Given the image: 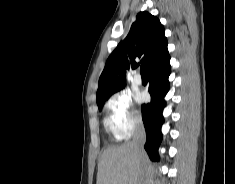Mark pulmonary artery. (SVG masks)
<instances>
[{
  "label": "pulmonary artery",
  "mask_w": 235,
  "mask_h": 184,
  "mask_svg": "<svg viewBox=\"0 0 235 184\" xmlns=\"http://www.w3.org/2000/svg\"><path fill=\"white\" fill-rule=\"evenodd\" d=\"M133 80H134V83H135L136 85H141V84H142V78H141V76H140L138 73H136V74L134 75Z\"/></svg>",
  "instance_id": "e3ab8cb5"
}]
</instances>
